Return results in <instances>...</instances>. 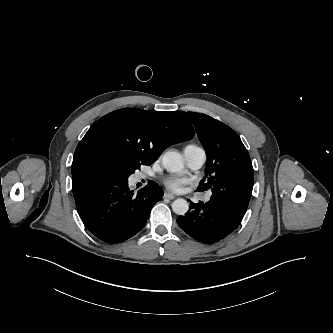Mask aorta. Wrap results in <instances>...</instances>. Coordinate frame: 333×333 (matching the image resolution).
Listing matches in <instances>:
<instances>
[{"label": "aorta", "mask_w": 333, "mask_h": 333, "mask_svg": "<svg viewBox=\"0 0 333 333\" xmlns=\"http://www.w3.org/2000/svg\"><path fill=\"white\" fill-rule=\"evenodd\" d=\"M162 164L169 172H180L184 168L182 155L176 151H168L163 155ZM189 209L188 202L185 199L178 198L172 203V210L175 214L184 215Z\"/></svg>", "instance_id": "obj_1"}]
</instances>
